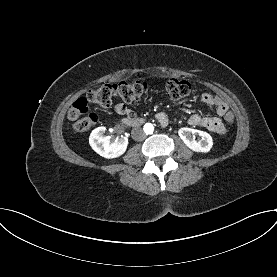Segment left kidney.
Instances as JSON below:
<instances>
[{"label": "left kidney", "instance_id": "obj_1", "mask_svg": "<svg viewBox=\"0 0 277 277\" xmlns=\"http://www.w3.org/2000/svg\"><path fill=\"white\" fill-rule=\"evenodd\" d=\"M178 134L185 145L192 151L207 153L213 146V139L207 132L191 128H181ZM194 135H199L201 139L195 140Z\"/></svg>", "mask_w": 277, "mask_h": 277}]
</instances>
